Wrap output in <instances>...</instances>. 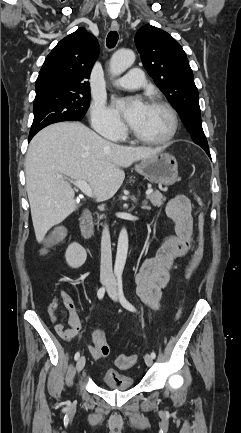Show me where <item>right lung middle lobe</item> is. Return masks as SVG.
Listing matches in <instances>:
<instances>
[{
    "mask_svg": "<svg viewBox=\"0 0 241 433\" xmlns=\"http://www.w3.org/2000/svg\"><path fill=\"white\" fill-rule=\"evenodd\" d=\"M90 94H50L34 100L30 134L56 122L80 121L87 111Z\"/></svg>",
    "mask_w": 241,
    "mask_h": 433,
    "instance_id": "obj_1",
    "label": "right lung middle lobe"
}]
</instances>
